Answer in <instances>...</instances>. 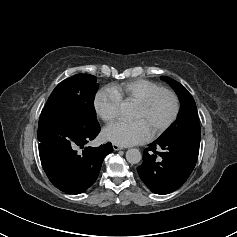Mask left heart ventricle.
I'll use <instances>...</instances> for the list:
<instances>
[{
	"mask_svg": "<svg viewBox=\"0 0 237 237\" xmlns=\"http://www.w3.org/2000/svg\"><path fill=\"white\" fill-rule=\"evenodd\" d=\"M174 103L170 96L164 95L158 98L151 108L144 112L134 106L132 120H139L143 123L149 134L169 119L173 112Z\"/></svg>",
	"mask_w": 237,
	"mask_h": 237,
	"instance_id": "obj_1",
	"label": "left heart ventricle"
}]
</instances>
